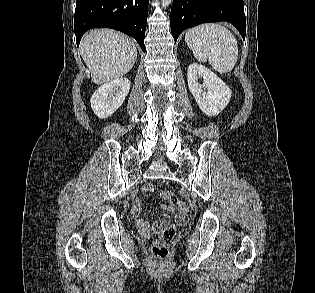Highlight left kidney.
Here are the masks:
<instances>
[{
  "instance_id": "obj_1",
  "label": "left kidney",
  "mask_w": 315,
  "mask_h": 293,
  "mask_svg": "<svg viewBox=\"0 0 315 293\" xmlns=\"http://www.w3.org/2000/svg\"><path fill=\"white\" fill-rule=\"evenodd\" d=\"M201 78L203 84L198 83ZM187 79L198 107L207 116L218 115L228 105L231 99L230 88L208 68L192 63L187 70Z\"/></svg>"
}]
</instances>
